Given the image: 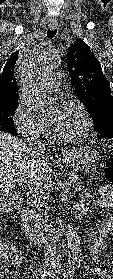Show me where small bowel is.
<instances>
[{
    "instance_id": "small-bowel-1",
    "label": "small bowel",
    "mask_w": 113,
    "mask_h": 279,
    "mask_svg": "<svg viewBox=\"0 0 113 279\" xmlns=\"http://www.w3.org/2000/svg\"><path fill=\"white\" fill-rule=\"evenodd\" d=\"M88 196H89V190L86 189L83 193V202L88 198ZM98 203L102 207H112L113 193L108 192L105 197H101ZM112 236H113V217L103 222L100 226V229L87 238V242L90 247L92 256L95 260H100L102 258V252L105 249V247L108 245L109 239ZM19 263L20 261L17 258L16 261L13 263V265L18 266ZM90 272L97 279H113V270L112 272H108L103 267L94 266L90 268Z\"/></svg>"
}]
</instances>
